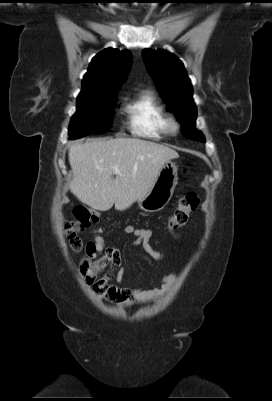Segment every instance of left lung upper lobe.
Instances as JSON below:
<instances>
[{
  "label": "left lung upper lobe",
  "mask_w": 272,
  "mask_h": 401,
  "mask_svg": "<svg viewBox=\"0 0 272 401\" xmlns=\"http://www.w3.org/2000/svg\"><path fill=\"white\" fill-rule=\"evenodd\" d=\"M142 56L162 98L182 123L183 134L205 142L202 133L195 129L197 114L192 99L193 89L183 63L167 51L145 49Z\"/></svg>",
  "instance_id": "obj_1"
}]
</instances>
